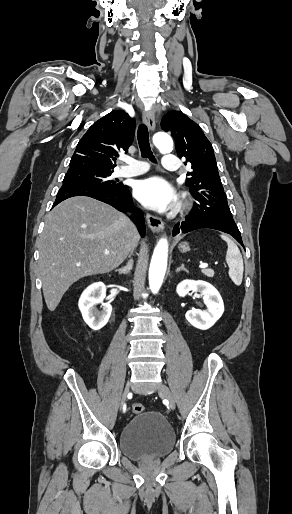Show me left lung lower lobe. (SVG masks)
Returning a JSON list of instances; mask_svg holds the SVG:
<instances>
[{"mask_svg":"<svg viewBox=\"0 0 292 514\" xmlns=\"http://www.w3.org/2000/svg\"><path fill=\"white\" fill-rule=\"evenodd\" d=\"M201 228H210L223 231L233 236L243 247L240 231L238 230L233 218L220 216H201L194 208L185 217V221L177 223L173 228V236L179 232L187 233L189 231Z\"/></svg>","mask_w":292,"mask_h":514,"instance_id":"1","label":"left lung lower lobe"}]
</instances>
